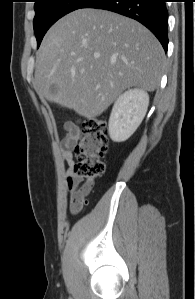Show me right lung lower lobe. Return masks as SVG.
Returning a JSON list of instances; mask_svg holds the SVG:
<instances>
[{
  "label": "right lung lower lobe",
  "instance_id": "right-lung-lower-lobe-1",
  "mask_svg": "<svg viewBox=\"0 0 195 299\" xmlns=\"http://www.w3.org/2000/svg\"><path fill=\"white\" fill-rule=\"evenodd\" d=\"M166 0H88L81 8L113 11L146 26L160 41L165 51L168 47V11Z\"/></svg>",
  "mask_w": 195,
  "mask_h": 299
}]
</instances>
